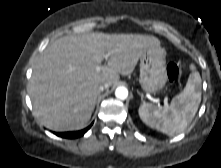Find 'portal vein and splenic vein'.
<instances>
[{"label": "portal vein and splenic vein", "instance_id": "18ae733b", "mask_svg": "<svg viewBox=\"0 0 221 168\" xmlns=\"http://www.w3.org/2000/svg\"><path fill=\"white\" fill-rule=\"evenodd\" d=\"M104 57H105V59H108V58H109V55L106 54V55H104ZM96 69H97V70H100V69H101V66H97ZM165 106H167V101H165Z\"/></svg>", "mask_w": 221, "mask_h": 168}]
</instances>
